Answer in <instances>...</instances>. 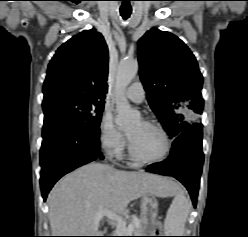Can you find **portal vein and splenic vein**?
<instances>
[{
    "label": "portal vein and splenic vein",
    "mask_w": 248,
    "mask_h": 237,
    "mask_svg": "<svg viewBox=\"0 0 248 237\" xmlns=\"http://www.w3.org/2000/svg\"><path fill=\"white\" fill-rule=\"evenodd\" d=\"M104 216H106L107 218H109L110 220H113L117 223V227H122L123 230H125L127 233H131L133 230V225L129 224L128 226H126V223L124 222V220L115 212H111V211H107V210H102L100 212L97 213L96 217L94 218V220L97 222L99 221L101 218H103Z\"/></svg>",
    "instance_id": "18ae733b"
}]
</instances>
